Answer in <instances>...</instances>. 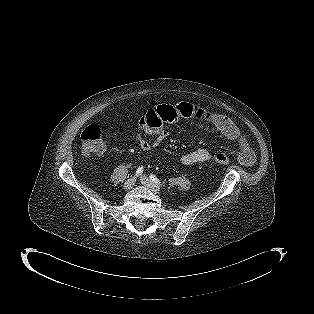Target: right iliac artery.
Masks as SVG:
<instances>
[{
	"label": "right iliac artery",
	"mask_w": 314,
	"mask_h": 314,
	"mask_svg": "<svg viewBox=\"0 0 314 314\" xmlns=\"http://www.w3.org/2000/svg\"><path fill=\"white\" fill-rule=\"evenodd\" d=\"M142 172H143V167L141 166V167H139L137 170H136V176H139V175H141L142 174Z\"/></svg>",
	"instance_id": "1"
}]
</instances>
